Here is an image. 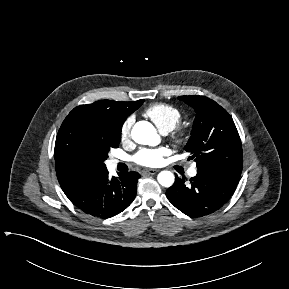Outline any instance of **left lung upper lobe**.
<instances>
[{"label": "left lung upper lobe", "instance_id": "obj_1", "mask_svg": "<svg viewBox=\"0 0 289 289\" xmlns=\"http://www.w3.org/2000/svg\"><path fill=\"white\" fill-rule=\"evenodd\" d=\"M178 99L196 112L191 137L184 148L195 158L197 168L219 170L240 178L242 145L228 112L205 96H180Z\"/></svg>", "mask_w": 289, "mask_h": 289}]
</instances>
